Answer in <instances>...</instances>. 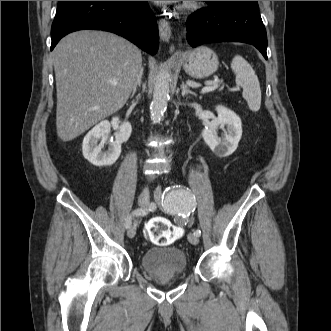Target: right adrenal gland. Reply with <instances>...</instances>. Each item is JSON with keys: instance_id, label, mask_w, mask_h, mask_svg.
I'll use <instances>...</instances> for the list:
<instances>
[{"instance_id": "right-adrenal-gland-1", "label": "right adrenal gland", "mask_w": 331, "mask_h": 331, "mask_svg": "<svg viewBox=\"0 0 331 331\" xmlns=\"http://www.w3.org/2000/svg\"><path fill=\"white\" fill-rule=\"evenodd\" d=\"M142 75H143V68H141V71H140L139 75L137 76V79H136L135 84H134V86H133V90H132L131 98L134 97V95H135L136 92H137L138 87L141 86Z\"/></svg>"}]
</instances>
